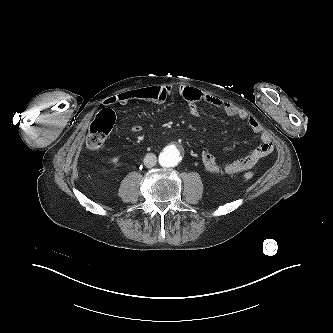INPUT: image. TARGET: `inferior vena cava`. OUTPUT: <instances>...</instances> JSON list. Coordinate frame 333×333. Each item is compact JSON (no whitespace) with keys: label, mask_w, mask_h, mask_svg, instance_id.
I'll use <instances>...</instances> for the list:
<instances>
[{"label":"inferior vena cava","mask_w":333,"mask_h":333,"mask_svg":"<svg viewBox=\"0 0 333 333\" xmlns=\"http://www.w3.org/2000/svg\"><path fill=\"white\" fill-rule=\"evenodd\" d=\"M157 163V157L153 153H148L145 158H144V165L147 168H152L156 165Z\"/></svg>","instance_id":"obj_1"}]
</instances>
